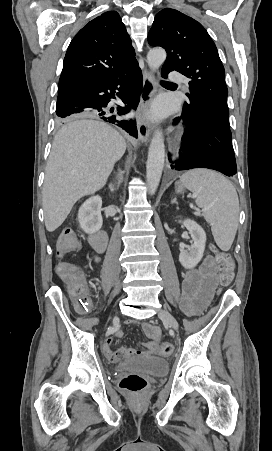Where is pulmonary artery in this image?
I'll return each mask as SVG.
<instances>
[{
	"label": "pulmonary artery",
	"instance_id": "e3ab8cb5",
	"mask_svg": "<svg viewBox=\"0 0 272 451\" xmlns=\"http://www.w3.org/2000/svg\"><path fill=\"white\" fill-rule=\"evenodd\" d=\"M170 74L172 76V80L174 82H178L177 84L180 86L182 84L180 81L184 79V76L180 74V71L178 69H173Z\"/></svg>",
	"mask_w": 272,
	"mask_h": 451
}]
</instances>
